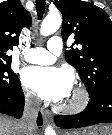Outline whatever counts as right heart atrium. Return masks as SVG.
I'll list each match as a JSON object with an SVG mask.
<instances>
[{
    "instance_id": "d8ad5b80",
    "label": "right heart atrium",
    "mask_w": 112,
    "mask_h": 135,
    "mask_svg": "<svg viewBox=\"0 0 112 135\" xmlns=\"http://www.w3.org/2000/svg\"><path fill=\"white\" fill-rule=\"evenodd\" d=\"M24 99L28 105L35 106L37 105V98L29 90H24Z\"/></svg>"
}]
</instances>
